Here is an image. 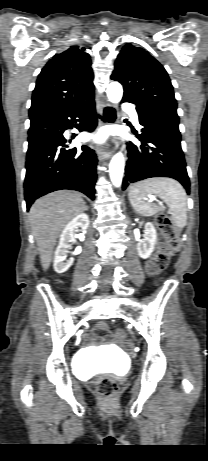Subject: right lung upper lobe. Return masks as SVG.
<instances>
[{
  "label": "right lung upper lobe",
  "mask_w": 208,
  "mask_h": 461,
  "mask_svg": "<svg viewBox=\"0 0 208 461\" xmlns=\"http://www.w3.org/2000/svg\"><path fill=\"white\" fill-rule=\"evenodd\" d=\"M84 50L71 46L44 66L33 91L30 120L65 114L94 99L91 60Z\"/></svg>",
  "instance_id": "1"
}]
</instances>
